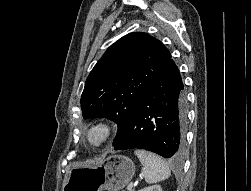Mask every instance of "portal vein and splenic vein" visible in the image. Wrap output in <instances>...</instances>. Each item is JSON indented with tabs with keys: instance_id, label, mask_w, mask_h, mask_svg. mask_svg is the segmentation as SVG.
<instances>
[{
	"instance_id": "1",
	"label": "portal vein and splenic vein",
	"mask_w": 251,
	"mask_h": 191,
	"mask_svg": "<svg viewBox=\"0 0 251 191\" xmlns=\"http://www.w3.org/2000/svg\"><path fill=\"white\" fill-rule=\"evenodd\" d=\"M135 183H136V181H135ZM133 186H134V183H133V182H130L129 184H126V185H125V188H126L127 190H130V188L133 187Z\"/></svg>"
}]
</instances>
